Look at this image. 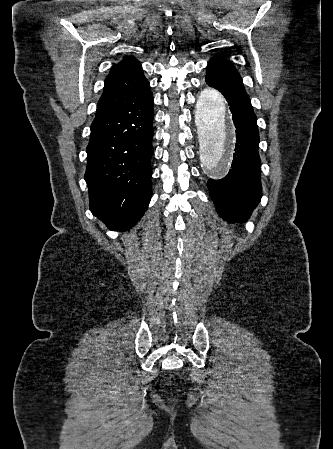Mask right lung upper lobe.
<instances>
[{
    "label": "right lung upper lobe",
    "instance_id": "obj_1",
    "mask_svg": "<svg viewBox=\"0 0 333 449\" xmlns=\"http://www.w3.org/2000/svg\"><path fill=\"white\" fill-rule=\"evenodd\" d=\"M149 88L141 64L133 57H125L114 64L105 79L104 91L98 101L96 115L110 112Z\"/></svg>",
    "mask_w": 333,
    "mask_h": 449
}]
</instances>
